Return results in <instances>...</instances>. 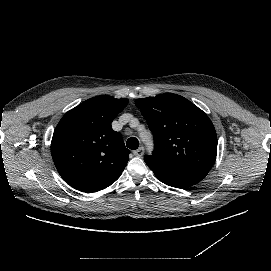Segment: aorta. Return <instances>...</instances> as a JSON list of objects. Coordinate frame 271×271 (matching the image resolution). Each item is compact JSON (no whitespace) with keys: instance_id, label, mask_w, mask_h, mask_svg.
I'll list each match as a JSON object with an SVG mask.
<instances>
[{"instance_id":"762f6f07","label":"aorta","mask_w":271,"mask_h":271,"mask_svg":"<svg viewBox=\"0 0 271 271\" xmlns=\"http://www.w3.org/2000/svg\"><path fill=\"white\" fill-rule=\"evenodd\" d=\"M146 145H147V147H148L149 149H151V147H152V142H151V141L146 142Z\"/></svg>"}]
</instances>
